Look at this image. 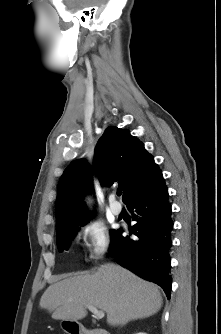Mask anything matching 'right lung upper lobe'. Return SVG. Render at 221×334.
<instances>
[{
    "mask_svg": "<svg viewBox=\"0 0 221 334\" xmlns=\"http://www.w3.org/2000/svg\"><path fill=\"white\" fill-rule=\"evenodd\" d=\"M94 168L104 186L119 184L125 204L160 174L144 144L129 131L106 128L95 147ZM92 173L85 160L72 162L62 174L56 199L57 235L65 228L88 222L83 195L89 192Z\"/></svg>",
    "mask_w": 221,
    "mask_h": 334,
    "instance_id": "cb5924a9",
    "label": "right lung upper lobe"
}]
</instances>
